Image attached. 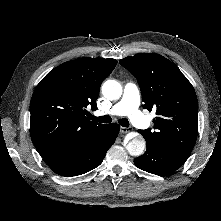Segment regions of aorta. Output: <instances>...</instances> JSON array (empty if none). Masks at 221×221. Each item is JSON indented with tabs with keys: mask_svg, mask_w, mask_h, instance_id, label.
Returning <instances> with one entry per match:
<instances>
[{
	"mask_svg": "<svg viewBox=\"0 0 221 221\" xmlns=\"http://www.w3.org/2000/svg\"><path fill=\"white\" fill-rule=\"evenodd\" d=\"M102 94L110 100H117L122 95V86L116 80H107L102 85ZM145 140L143 137H135L126 145V150L131 156H140L145 150Z\"/></svg>",
	"mask_w": 221,
	"mask_h": 221,
	"instance_id": "1",
	"label": "aorta"
}]
</instances>
